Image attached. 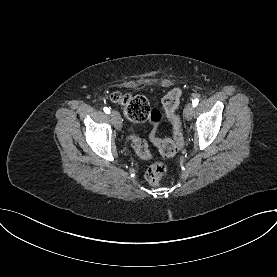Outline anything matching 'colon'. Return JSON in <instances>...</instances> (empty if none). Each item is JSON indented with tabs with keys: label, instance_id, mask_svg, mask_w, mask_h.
Returning a JSON list of instances; mask_svg holds the SVG:
<instances>
[{
	"label": "colon",
	"instance_id": "1",
	"mask_svg": "<svg viewBox=\"0 0 277 277\" xmlns=\"http://www.w3.org/2000/svg\"><path fill=\"white\" fill-rule=\"evenodd\" d=\"M182 90L179 88L171 90L163 99V106L168 119L173 127L174 140L160 139L157 136V128L162 121V114L158 110H151L147 100L143 96L123 93H113L111 100L122 106L127 118L133 122H144L149 120L153 124L151 132L152 142L159 148L162 155L174 156L183 144L181 121L176 114ZM132 147L136 153L144 159L151 157L147 143L141 138L132 140ZM166 174V166L161 162L151 164L145 173V178L151 185H158Z\"/></svg>",
	"mask_w": 277,
	"mask_h": 277
}]
</instances>
